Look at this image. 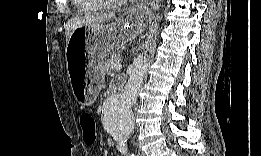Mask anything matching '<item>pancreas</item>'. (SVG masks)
Segmentation results:
<instances>
[{
    "mask_svg": "<svg viewBox=\"0 0 261 156\" xmlns=\"http://www.w3.org/2000/svg\"><path fill=\"white\" fill-rule=\"evenodd\" d=\"M120 63V53L119 52H111L109 54V58L106 62L101 66L100 73L102 75L110 74L114 71L113 66L115 64Z\"/></svg>",
    "mask_w": 261,
    "mask_h": 156,
    "instance_id": "1",
    "label": "pancreas"
}]
</instances>
